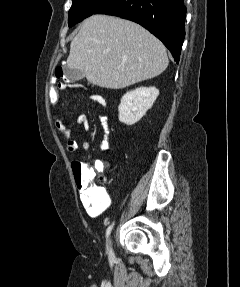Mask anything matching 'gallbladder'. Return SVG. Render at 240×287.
I'll return each instance as SVG.
<instances>
[{
    "label": "gallbladder",
    "mask_w": 240,
    "mask_h": 287,
    "mask_svg": "<svg viewBox=\"0 0 240 287\" xmlns=\"http://www.w3.org/2000/svg\"><path fill=\"white\" fill-rule=\"evenodd\" d=\"M65 78L71 82L79 81L85 77V72L78 69H70L65 67L64 69Z\"/></svg>",
    "instance_id": "gallbladder-1"
}]
</instances>
